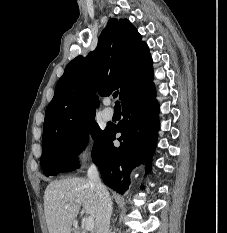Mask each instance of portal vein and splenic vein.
<instances>
[{"instance_id": "portal-vein-and-splenic-vein-1", "label": "portal vein and splenic vein", "mask_w": 227, "mask_h": 233, "mask_svg": "<svg viewBox=\"0 0 227 233\" xmlns=\"http://www.w3.org/2000/svg\"><path fill=\"white\" fill-rule=\"evenodd\" d=\"M69 204L65 205V208H69ZM94 228V218L89 216L85 219V230L91 231Z\"/></svg>"}]
</instances>
